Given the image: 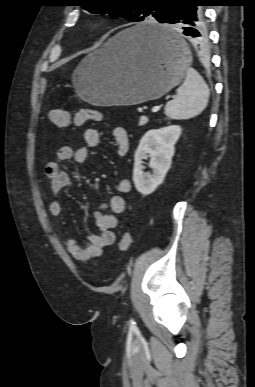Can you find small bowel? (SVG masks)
<instances>
[{"instance_id":"obj_1","label":"small bowel","mask_w":255,"mask_h":387,"mask_svg":"<svg viewBox=\"0 0 255 387\" xmlns=\"http://www.w3.org/2000/svg\"><path fill=\"white\" fill-rule=\"evenodd\" d=\"M112 136L117 155L124 156L129 149L127 131L122 127H115L112 130ZM83 139L86 147L62 146L57 150L54 159L45 165V175L54 194H59L71 184L70 175L62 169L61 163L70 160L79 164L85 163L89 158L87 147H97L102 143L101 133L95 128L85 129ZM130 191L131 182L129 179L122 178L118 180V193L113 195L108 202L100 204L93 213L94 223L99 232L89 236L87 246H80L73 238L67 239V250L75 259L87 261L99 257L105 248L113 245L115 236L112 229L117 225V215L125 209V200L122 195ZM62 211L63 206L59 201L50 203L49 212L53 217H59Z\"/></svg>"}]
</instances>
